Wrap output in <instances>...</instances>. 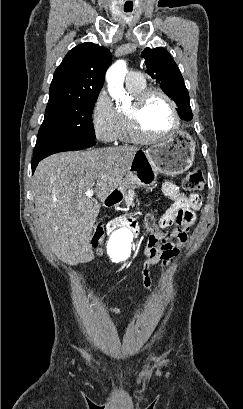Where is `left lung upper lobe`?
<instances>
[{
  "label": "left lung upper lobe",
  "mask_w": 243,
  "mask_h": 409,
  "mask_svg": "<svg viewBox=\"0 0 243 409\" xmlns=\"http://www.w3.org/2000/svg\"><path fill=\"white\" fill-rule=\"evenodd\" d=\"M142 57L145 59L146 72L176 102L180 117L190 121L193 114L189 102V93L180 70L171 55L164 48L157 47L154 49L146 48L142 52Z\"/></svg>",
  "instance_id": "5c2ea615"
}]
</instances>
